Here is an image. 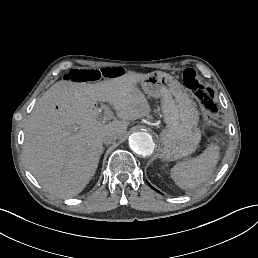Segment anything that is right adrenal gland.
Segmentation results:
<instances>
[{
    "instance_id": "right-adrenal-gland-1",
    "label": "right adrenal gland",
    "mask_w": 258,
    "mask_h": 258,
    "mask_svg": "<svg viewBox=\"0 0 258 258\" xmlns=\"http://www.w3.org/2000/svg\"><path fill=\"white\" fill-rule=\"evenodd\" d=\"M105 148H102V153H103V150H104Z\"/></svg>"
}]
</instances>
